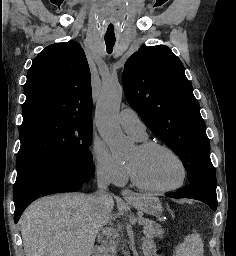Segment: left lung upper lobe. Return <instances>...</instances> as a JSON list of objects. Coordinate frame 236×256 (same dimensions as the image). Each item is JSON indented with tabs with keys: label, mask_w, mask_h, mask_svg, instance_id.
<instances>
[{
	"label": "left lung upper lobe",
	"mask_w": 236,
	"mask_h": 256,
	"mask_svg": "<svg viewBox=\"0 0 236 256\" xmlns=\"http://www.w3.org/2000/svg\"><path fill=\"white\" fill-rule=\"evenodd\" d=\"M122 80L129 104L179 156L188 182L216 186L205 122L180 59L164 45L140 48L126 61Z\"/></svg>",
	"instance_id": "left-lung-upper-lobe-1"
}]
</instances>
